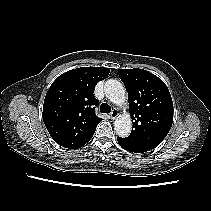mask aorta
<instances>
[{
	"label": "aorta",
	"instance_id": "762f6f07",
	"mask_svg": "<svg viewBox=\"0 0 211 211\" xmlns=\"http://www.w3.org/2000/svg\"><path fill=\"white\" fill-rule=\"evenodd\" d=\"M106 97L114 104L123 105L126 101V91L123 84L115 79H109L104 86ZM114 130L120 137H127L132 130L129 114L119 116L114 122Z\"/></svg>",
	"mask_w": 211,
	"mask_h": 211
}]
</instances>
